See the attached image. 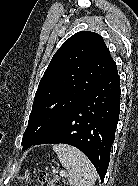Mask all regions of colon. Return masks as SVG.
Wrapping results in <instances>:
<instances>
[{"mask_svg": "<svg viewBox=\"0 0 138 186\" xmlns=\"http://www.w3.org/2000/svg\"><path fill=\"white\" fill-rule=\"evenodd\" d=\"M67 186L64 179L60 176L48 173L45 171L40 172L36 176L32 177L27 186Z\"/></svg>", "mask_w": 138, "mask_h": 186, "instance_id": "obj_1", "label": "colon"}]
</instances>
